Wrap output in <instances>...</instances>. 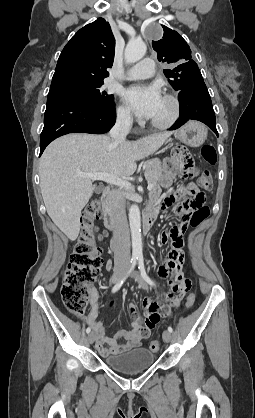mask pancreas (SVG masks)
I'll return each instance as SVG.
<instances>
[{"instance_id": "obj_1", "label": "pancreas", "mask_w": 255, "mask_h": 418, "mask_svg": "<svg viewBox=\"0 0 255 418\" xmlns=\"http://www.w3.org/2000/svg\"><path fill=\"white\" fill-rule=\"evenodd\" d=\"M145 170V178L148 183L153 185V188H158V180L162 174L161 161L158 158L150 159L145 162L143 166Z\"/></svg>"}]
</instances>
